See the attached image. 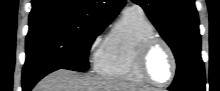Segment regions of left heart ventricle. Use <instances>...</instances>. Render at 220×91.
<instances>
[{"label": "left heart ventricle", "mask_w": 220, "mask_h": 91, "mask_svg": "<svg viewBox=\"0 0 220 91\" xmlns=\"http://www.w3.org/2000/svg\"><path fill=\"white\" fill-rule=\"evenodd\" d=\"M147 70L151 78L157 82H165L171 74V59L167 50L159 45L150 53L147 60Z\"/></svg>", "instance_id": "b2bd125f"}]
</instances>
